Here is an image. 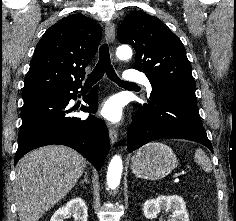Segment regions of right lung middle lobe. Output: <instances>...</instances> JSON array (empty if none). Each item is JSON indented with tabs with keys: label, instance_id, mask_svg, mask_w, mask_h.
I'll use <instances>...</instances> for the list:
<instances>
[{
	"label": "right lung middle lobe",
	"instance_id": "dd1d6c3e",
	"mask_svg": "<svg viewBox=\"0 0 236 221\" xmlns=\"http://www.w3.org/2000/svg\"><path fill=\"white\" fill-rule=\"evenodd\" d=\"M54 93H57V90H46V91H41V92H37V93L22 95V97L25 98L27 96L34 95V94H54Z\"/></svg>",
	"mask_w": 236,
	"mask_h": 221
}]
</instances>
